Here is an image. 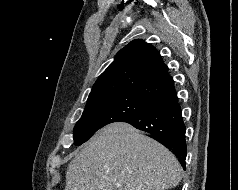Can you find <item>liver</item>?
<instances>
[{"label": "liver", "instance_id": "liver-1", "mask_svg": "<svg viewBox=\"0 0 238 190\" xmlns=\"http://www.w3.org/2000/svg\"><path fill=\"white\" fill-rule=\"evenodd\" d=\"M176 157L124 122L100 129L68 165L65 190H167L179 184Z\"/></svg>", "mask_w": 238, "mask_h": 190}]
</instances>
